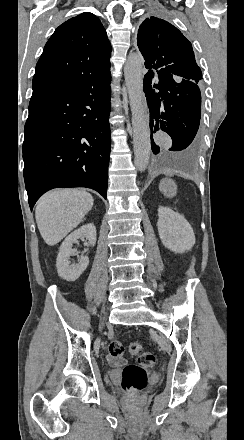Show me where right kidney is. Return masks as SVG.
I'll use <instances>...</instances> for the list:
<instances>
[{
  "mask_svg": "<svg viewBox=\"0 0 244 440\" xmlns=\"http://www.w3.org/2000/svg\"><path fill=\"white\" fill-rule=\"evenodd\" d=\"M79 238H81V240L86 238L89 242L88 246H94V244H96V228L94 224L81 226L79 230H75L70 236H67L66 240H64L60 246L56 260V268L58 276L63 278V280H67V282H75V280L83 274L89 264L88 256H80L79 264H71V262H69L70 256H74L75 252H77V250H73V244H75Z\"/></svg>",
  "mask_w": 244,
  "mask_h": 440,
  "instance_id": "ca27d5eb",
  "label": "right kidney"
}]
</instances>
